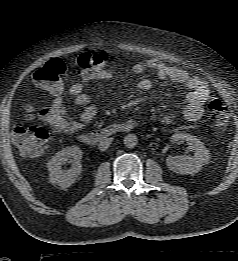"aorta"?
<instances>
[{
	"mask_svg": "<svg viewBox=\"0 0 238 261\" xmlns=\"http://www.w3.org/2000/svg\"><path fill=\"white\" fill-rule=\"evenodd\" d=\"M138 143V138L135 134H127L124 137V144L127 148H134Z\"/></svg>",
	"mask_w": 238,
	"mask_h": 261,
	"instance_id": "obj_1",
	"label": "aorta"
}]
</instances>
